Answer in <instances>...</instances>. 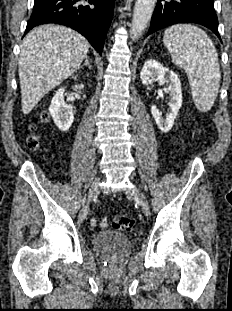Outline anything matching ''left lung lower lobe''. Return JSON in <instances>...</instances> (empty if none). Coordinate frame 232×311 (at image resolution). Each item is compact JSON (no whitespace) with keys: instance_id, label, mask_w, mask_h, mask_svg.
<instances>
[{"instance_id":"0a47b994","label":"left lung lower lobe","mask_w":232,"mask_h":311,"mask_svg":"<svg viewBox=\"0 0 232 311\" xmlns=\"http://www.w3.org/2000/svg\"><path fill=\"white\" fill-rule=\"evenodd\" d=\"M177 23H197L219 38L213 0H158L147 35Z\"/></svg>"}]
</instances>
